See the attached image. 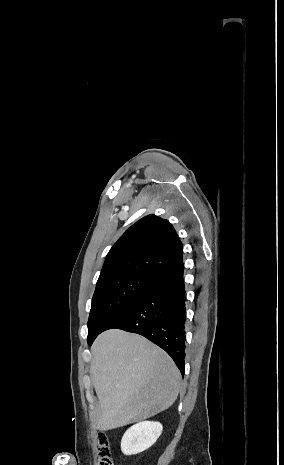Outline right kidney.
I'll use <instances>...</instances> for the list:
<instances>
[{
    "mask_svg": "<svg viewBox=\"0 0 284 465\" xmlns=\"http://www.w3.org/2000/svg\"><path fill=\"white\" fill-rule=\"evenodd\" d=\"M162 431L161 423H154V421H143V423L133 425L122 437V453L124 455H137V453L146 451L156 443Z\"/></svg>",
    "mask_w": 284,
    "mask_h": 465,
    "instance_id": "ca27d5eb",
    "label": "right kidney"
}]
</instances>
